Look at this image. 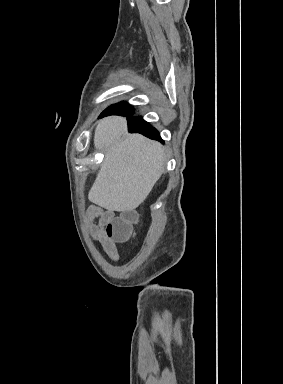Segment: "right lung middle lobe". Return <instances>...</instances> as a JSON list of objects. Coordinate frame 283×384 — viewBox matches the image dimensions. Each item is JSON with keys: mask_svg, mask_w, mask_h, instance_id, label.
Instances as JSON below:
<instances>
[{"mask_svg": "<svg viewBox=\"0 0 283 384\" xmlns=\"http://www.w3.org/2000/svg\"><path fill=\"white\" fill-rule=\"evenodd\" d=\"M115 107H129V108H131L126 102H121V103L112 105L109 108H115Z\"/></svg>", "mask_w": 283, "mask_h": 384, "instance_id": "right-lung-middle-lobe-1", "label": "right lung middle lobe"}]
</instances>
